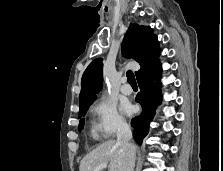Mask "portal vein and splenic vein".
<instances>
[{
  "label": "portal vein and splenic vein",
  "instance_id": "18ae733b",
  "mask_svg": "<svg viewBox=\"0 0 223 171\" xmlns=\"http://www.w3.org/2000/svg\"><path fill=\"white\" fill-rule=\"evenodd\" d=\"M104 168H107V164L106 163H103V164H100L99 166H97L94 171H100Z\"/></svg>",
  "mask_w": 223,
  "mask_h": 171
}]
</instances>
